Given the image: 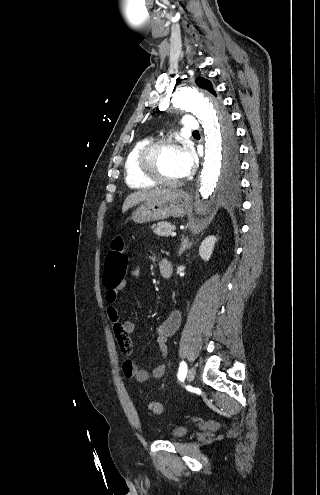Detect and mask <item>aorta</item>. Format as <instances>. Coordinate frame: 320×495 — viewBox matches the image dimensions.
Here are the masks:
<instances>
[{"label":"aorta","instance_id":"1","mask_svg":"<svg viewBox=\"0 0 320 495\" xmlns=\"http://www.w3.org/2000/svg\"><path fill=\"white\" fill-rule=\"evenodd\" d=\"M175 108L191 111L202 124L205 133V157L198 188L194 217L211 211L210 196L219 180L222 161V119L217 101L202 89H179L172 98Z\"/></svg>","mask_w":320,"mask_h":495}]
</instances>
